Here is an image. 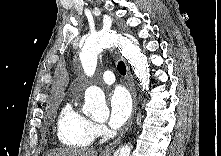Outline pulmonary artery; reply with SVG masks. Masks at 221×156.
Returning a JSON list of instances; mask_svg holds the SVG:
<instances>
[{
    "label": "pulmonary artery",
    "mask_w": 221,
    "mask_h": 156,
    "mask_svg": "<svg viewBox=\"0 0 221 156\" xmlns=\"http://www.w3.org/2000/svg\"><path fill=\"white\" fill-rule=\"evenodd\" d=\"M102 80L106 84H113L115 82V76L111 71H105L102 75Z\"/></svg>",
    "instance_id": "e3ab8cb5"
}]
</instances>
